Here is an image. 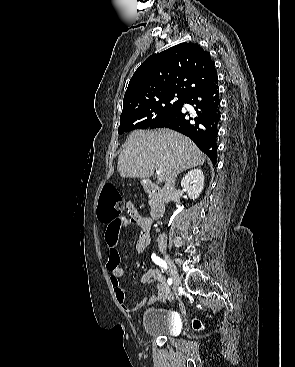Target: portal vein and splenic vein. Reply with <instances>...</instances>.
Returning a JSON list of instances; mask_svg holds the SVG:
<instances>
[{"label":"portal vein and splenic vein","instance_id":"obj_1","mask_svg":"<svg viewBox=\"0 0 295 367\" xmlns=\"http://www.w3.org/2000/svg\"><path fill=\"white\" fill-rule=\"evenodd\" d=\"M157 179L159 182H162L165 179V174L161 170H157Z\"/></svg>","mask_w":295,"mask_h":367}]
</instances>
